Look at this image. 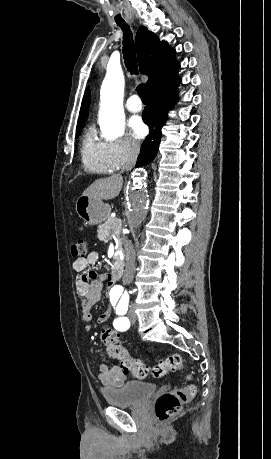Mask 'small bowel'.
Wrapping results in <instances>:
<instances>
[{
    "label": "small bowel",
    "instance_id": "obj_1",
    "mask_svg": "<svg viewBox=\"0 0 271 459\" xmlns=\"http://www.w3.org/2000/svg\"><path fill=\"white\" fill-rule=\"evenodd\" d=\"M99 260V254L92 251L85 257L74 260L72 267L78 273L76 290L81 298V315L85 323V329H91L92 309L100 301L104 282L109 280L108 274L99 273L95 270L86 271L88 266L95 265ZM110 315L109 308L98 316L97 322L104 324ZM128 377V371L118 364H100L98 367V379L104 389L121 387Z\"/></svg>",
    "mask_w": 271,
    "mask_h": 459
}]
</instances>
